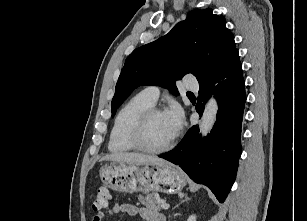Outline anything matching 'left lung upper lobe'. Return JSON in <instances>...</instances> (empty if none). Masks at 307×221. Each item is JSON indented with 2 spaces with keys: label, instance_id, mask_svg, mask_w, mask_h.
Listing matches in <instances>:
<instances>
[{
  "label": "left lung upper lobe",
  "instance_id": "1",
  "mask_svg": "<svg viewBox=\"0 0 307 221\" xmlns=\"http://www.w3.org/2000/svg\"><path fill=\"white\" fill-rule=\"evenodd\" d=\"M237 51L223 17L209 8L191 11L168 34L127 57L111 102L112 116L137 87L158 85L177 94L176 80L192 73L199 84L203 83Z\"/></svg>",
  "mask_w": 307,
  "mask_h": 221
}]
</instances>
